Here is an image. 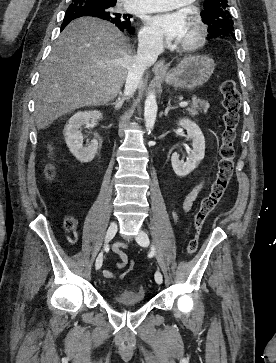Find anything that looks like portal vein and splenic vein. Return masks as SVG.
I'll return each mask as SVG.
<instances>
[{"instance_id": "portal-vein-and-splenic-vein-1", "label": "portal vein and splenic vein", "mask_w": 276, "mask_h": 363, "mask_svg": "<svg viewBox=\"0 0 276 363\" xmlns=\"http://www.w3.org/2000/svg\"><path fill=\"white\" fill-rule=\"evenodd\" d=\"M179 106L180 107H186V106H188V102H186V101L180 102Z\"/></svg>"}]
</instances>
